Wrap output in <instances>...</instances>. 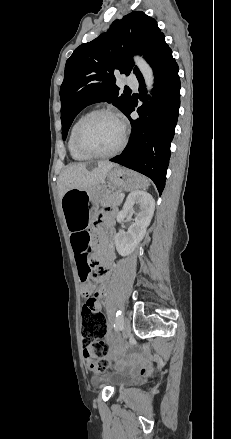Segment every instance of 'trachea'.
Returning a JSON list of instances; mask_svg holds the SVG:
<instances>
[{"label": "trachea", "mask_w": 231, "mask_h": 439, "mask_svg": "<svg viewBox=\"0 0 231 439\" xmlns=\"http://www.w3.org/2000/svg\"><path fill=\"white\" fill-rule=\"evenodd\" d=\"M125 90L130 91V88H126Z\"/></svg>", "instance_id": "3493384b"}]
</instances>
